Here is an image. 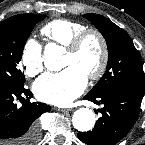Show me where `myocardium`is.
Returning <instances> with one entry per match:
<instances>
[{
    "label": "myocardium",
    "instance_id": "obj_1",
    "mask_svg": "<svg viewBox=\"0 0 145 145\" xmlns=\"http://www.w3.org/2000/svg\"><path fill=\"white\" fill-rule=\"evenodd\" d=\"M95 37L100 44L101 59L98 68L87 76L92 81L99 80L105 74L109 63V46L105 36L97 29L87 28L77 34L66 46L67 52L76 53L80 50L85 40L89 37Z\"/></svg>",
    "mask_w": 145,
    "mask_h": 145
}]
</instances>
